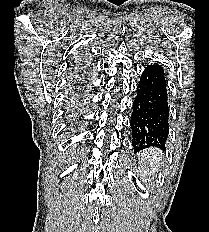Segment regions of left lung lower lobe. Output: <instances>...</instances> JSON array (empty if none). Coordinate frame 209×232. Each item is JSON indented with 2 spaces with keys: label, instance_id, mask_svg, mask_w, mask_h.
Listing matches in <instances>:
<instances>
[{
  "label": "left lung lower lobe",
  "instance_id": "left-lung-lower-lobe-1",
  "mask_svg": "<svg viewBox=\"0 0 209 232\" xmlns=\"http://www.w3.org/2000/svg\"><path fill=\"white\" fill-rule=\"evenodd\" d=\"M166 80L159 64L148 65L137 86L130 120L132 145L137 149L163 148L169 133Z\"/></svg>",
  "mask_w": 209,
  "mask_h": 232
}]
</instances>
